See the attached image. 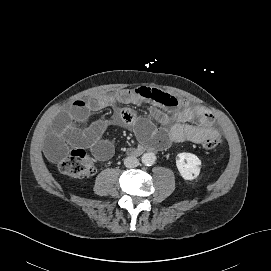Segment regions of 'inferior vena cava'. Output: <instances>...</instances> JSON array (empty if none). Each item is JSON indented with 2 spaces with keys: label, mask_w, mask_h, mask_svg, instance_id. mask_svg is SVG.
Returning a JSON list of instances; mask_svg holds the SVG:
<instances>
[{
  "label": "inferior vena cava",
  "mask_w": 271,
  "mask_h": 271,
  "mask_svg": "<svg viewBox=\"0 0 271 271\" xmlns=\"http://www.w3.org/2000/svg\"><path fill=\"white\" fill-rule=\"evenodd\" d=\"M124 165L127 168H135L139 165V160L136 157L129 156L124 159Z\"/></svg>",
  "instance_id": "obj_1"
}]
</instances>
